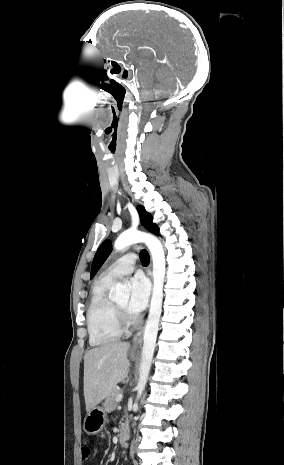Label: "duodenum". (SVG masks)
<instances>
[{
  "label": "duodenum",
  "mask_w": 284,
  "mask_h": 465,
  "mask_svg": "<svg viewBox=\"0 0 284 465\" xmlns=\"http://www.w3.org/2000/svg\"><path fill=\"white\" fill-rule=\"evenodd\" d=\"M128 436V428L125 426L119 432V439L120 441H125Z\"/></svg>",
  "instance_id": "1"
}]
</instances>
